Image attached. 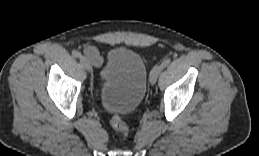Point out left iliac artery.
I'll return each instance as SVG.
<instances>
[{"mask_svg":"<svg viewBox=\"0 0 259 156\" xmlns=\"http://www.w3.org/2000/svg\"><path fill=\"white\" fill-rule=\"evenodd\" d=\"M171 62V60L169 58L165 59L162 63V69H164L169 63Z\"/></svg>","mask_w":259,"mask_h":156,"instance_id":"obj_1","label":"left iliac artery"}]
</instances>
